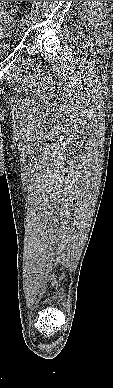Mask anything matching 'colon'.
<instances>
[{"mask_svg": "<svg viewBox=\"0 0 113 388\" xmlns=\"http://www.w3.org/2000/svg\"><path fill=\"white\" fill-rule=\"evenodd\" d=\"M5 2V1H4ZM1 6H3V1L0 3Z\"/></svg>", "mask_w": 113, "mask_h": 388, "instance_id": "obj_1", "label": "colon"}]
</instances>
